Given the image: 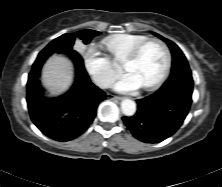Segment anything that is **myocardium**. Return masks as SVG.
<instances>
[{
    "label": "myocardium",
    "instance_id": "obj_1",
    "mask_svg": "<svg viewBox=\"0 0 222 187\" xmlns=\"http://www.w3.org/2000/svg\"><path fill=\"white\" fill-rule=\"evenodd\" d=\"M152 43L159 44L163 48V50L165 52V56H166V61H165V66H164L163 72L160 75V77L156 81H154L150 84L141 86L142 89L148 90V91L154 90V89H157L158 87H160L165 82V80L167 79V77L169 75L171 65H172V54H171V51H170L168 45L164 41L157 39V38L147 39V40L141 42L139 45H137L131 51V53L125 57V59L122 62V67L124 69L125 65L136 61L140 57L144 48L147 45L152 44Z\"/></svg>",
    "mask_w": 222,
    "mask_h": 187
}]
</instances>
